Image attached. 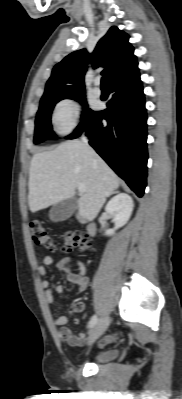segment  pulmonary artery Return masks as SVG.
I'll use <instances>...</instances> for the list:
<instances>
[{
  "mask_svg": "<svg viewBox=\"0 0 182 399\" xmlns=\"http://www.w3.org/2000/svg\"><path fill=\"white\" fill-rule=\"evenodd\" d=\"M93 92L97 97H99L102 93L100 88V81L98 79L95 80V86L93 88Z\"/></svg>",
  "mask_w": 182,
  "mask_h": 399,
  "instance_id": "e3ab8cb5",
  "label": "pulmonary artery"
}]
</instances>
